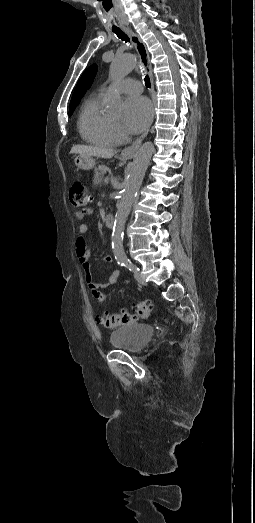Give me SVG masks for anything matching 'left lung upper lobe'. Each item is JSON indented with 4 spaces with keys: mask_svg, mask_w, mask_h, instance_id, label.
<instances>
[{
    "mask_svg": "<svg viewBox=\"0 0 255 523\" xmlns=\"http://www.w3.org/2000/svg\"><path fill=\"white\" fill-rule=\"evenodd\" d=\"M96 71L97 66L96 64H93L82 74L70 101L69 116L72 115L76 106L80 103V100L82 99L86 91L90 88L93 79L96 75Z\"/></svg>",
    "mask_w": 255,
    "mask_h": 523,
    "instance_id": "obj_1",
    "label": "left lung upper lobe"
}]
</instances>
